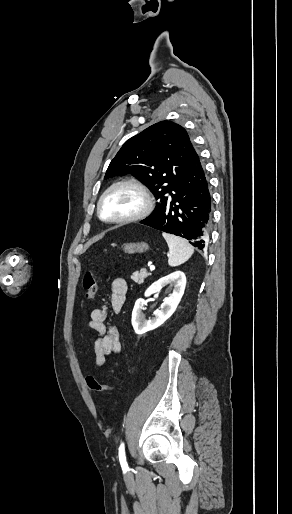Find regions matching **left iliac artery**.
<instances>
[{
  "label": "left iliac artery",
  "instance_id": "left-iliac-artery-1",
  "mask_svg": "<svg viewBox=\"0 0 292 514\" xmlns=\"http://www.w3.org/2000/svg\"><path fill=\"white\" fill-rule=\"evenodd\" d=\"M119 461H120V464H121V467L125 470L128 469V464H127V461H126V456H125V445L124 443H121L120 447H119Z\"/></svg>",
  "mask_w": 292,
  "mask_h": 514
}]
</instances>
